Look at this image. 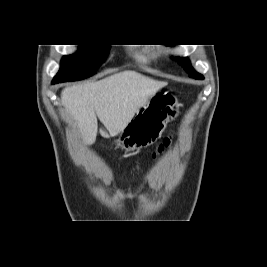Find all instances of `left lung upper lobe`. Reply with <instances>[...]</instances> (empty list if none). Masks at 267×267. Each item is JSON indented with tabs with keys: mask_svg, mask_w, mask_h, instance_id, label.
I'll return each mask as SVG.
<instances>
[{
	"mask_svg": "<svg viewBox=\"0 0 267 267\" xmlns=\"http://www.w3.org/2000/svg\"><path fill=\"white\" fill-rule=\"evenodd\" d=\"M176 61L182 65L185 69V71L189 74L190 77L194 78V79H204V77L197 73L190 64V61L188 60V58H175Z\"/></svg>",
	"mask_w": 267,
	"mask_h": 267,
	"instance_id": "5c2ea615",
	"label": "left lung upper lobe"
}]
</instances>
